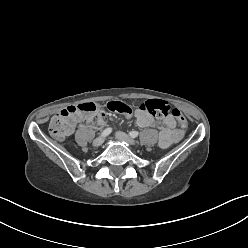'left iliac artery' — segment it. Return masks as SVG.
<instances>
[{
    "instance_id": "left-iliac-artery-1",
    "label": "left iliac artery",
    "mask_w": 248,
    "mask_h": 248,
    "mask_svg": "<svg viewBox=\"0 0 248 248\" xmlns=\"http://www.w3.org/2000/svg\"><path fill=\"white\" fill-rule=\"evenodd\" d=\"M138 132L137 131H131L129 132V135L132 137V138H136L138 136Z\"/></svg>"
}]
</instances>
